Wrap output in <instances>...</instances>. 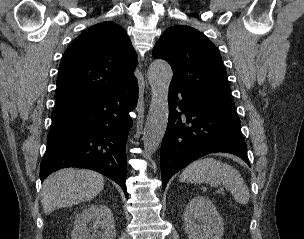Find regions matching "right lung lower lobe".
<instances>
[{
	"mask_svg": "<svg viewBox=\"0 0 304 239\" xmlns=\"http://www.w3.org/2000/svg\"><path fill=\"white\" fill-rule=\"evenodd\" d=\"M137 100L135 78L85 105L52 115L41 181L62 168H87L115 181L127 196L126 141L132 126L128 113Z\"/></svg>",
	"mask_w": 304,
	"mask_h": 239,
	"instance_id": "98d812e1",
	"label": "right lung lower lobe"
}]
</instances>
